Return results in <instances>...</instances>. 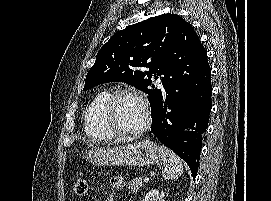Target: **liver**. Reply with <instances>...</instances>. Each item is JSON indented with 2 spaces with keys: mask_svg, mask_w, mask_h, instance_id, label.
Returning a JSON list of instances; mask_svg holds the SVG:
<instances>
[{
  "mask_svg": "<svg viewBox=\"0 0 271 201\" xmlns=\"http://www.w3.org/2000/svg\"><path fill=\"white\" fill-rule=\"evenodd\" d=\"M122 141L126 142V141H128V140H127V139H124V140H122ZM117 142H119V141H117Z\"/></svg>",
  "mask_w": 271,
  "mask_h": 201,
  "instance_id": "liver-1",
  "label": "liver"
}]
</instances>
